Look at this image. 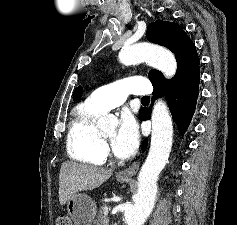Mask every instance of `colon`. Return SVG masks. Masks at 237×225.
I'll use <instances>...</instances> for the list:
<instances>
[{
  "mask_svg": "<svg viewBox=\"0 0 237 225\" xmlns=\"http://www.w3.org/2000/svg\"><path fill=\"white\" fill-rule=\"evenodd\" d=\"M56 225H73V223L69 216L60 215L56 220Z\"/></svg>",
  "mask_w": 237,
  "mask_h": 225,
  "instance_id": "5ec220e1",
  "label": "colon"
}]
</instances>
